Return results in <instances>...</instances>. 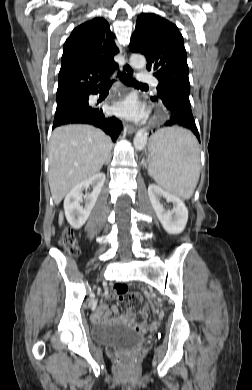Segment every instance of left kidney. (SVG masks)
<instances>
[{"label":"left kidney","instance_id":"obj_1","mask_svg":"<svg viewBox=\"0 0 252 390\" xmlns=\"http://www.w3.org/2000/svg\"><path fill=\"white\" fill-rule=\"evenodd\" d=\"M148 195L163 228L169 234L181 233L188 220V210L182 200L155 184L149 185ZM162 199L166 200L168 203L171 202L173 204V209L169 210L165 208L161 203Z\"/></svg>","mask_w":252,"mask_h":390}]
</instances>
